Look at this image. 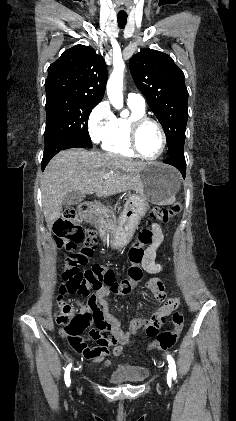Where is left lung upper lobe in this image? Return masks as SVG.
<instances>
[{
	"label": "left lung upper lobe",
	"instance_id": "obj_1",
	"mask_svg": "<svg viewBox=\"0 0 236 421\" xmlns=\"http://www.w3.org/2000/svg\"><path fill=\"white\" fill-rule=\"evenodd\" d=\"M129 68L136 86L164 129L167 156L184 154L188 119L184 73L169 55L151 49H142L134 55Z\"/></svg>",
	"mask_w": 236,
	"mask_h": 421
}]
</instances>
